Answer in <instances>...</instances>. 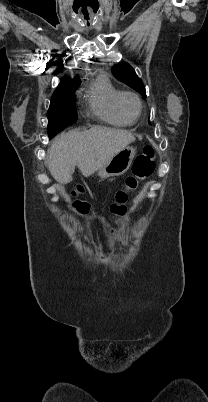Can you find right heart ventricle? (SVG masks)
<instances>
[{
    "label": "right heart ventricle",
    "instance_id": "right-heart-ventricle-1",
    "mask_svg": "<svg viewBox=\"0 0 208 402\" xmlns=\"http://www.w3.org/2000/svg\"><path fill=\"white\" fill-rule=\"evenodd\" d=\"M120 93L106 75H100L90 86L87 93L89 108L101 122L117 128H127L135 122L124 118L116 108Z\"/></svg>",
    "mask_w": 208,
    "mask_h": 402
}]
</instances>
